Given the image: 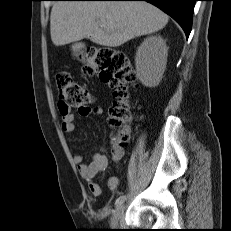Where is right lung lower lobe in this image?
Here are the masks:
<instances>
[{
  "mask_svg": "<svg viewBox=\"0 0 231 231\" xmlns=\"http://www.w3.org/2000/svg\"><path fill=\"white\" fill-rule=\"evenodd\" d=\"M93 1H147L171 16L189 37L192 27V14L197 0H93Z\"/></svg>",
  "mask_w": 231,
  "mask_h": 231,
  "instance_id": "1",
  "label": "right lung lower lobe"
}]
</instances>
